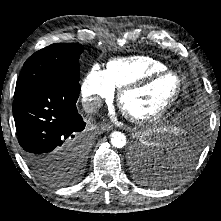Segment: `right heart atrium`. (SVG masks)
I'll list each match as a JSON object with an SVG mask.
<instances>
[{
  "label": "right heart atrium",
  "mask_w": 221,
  "mask_h": 221,
  "mask_svg": "<svg viewBox=\"0 0 221 221\" xmlns=\"http://www.w3.org/2000/svg\"><path fill=\"white\" fill-rule=\"evenodd\" d=\"M81 93L87 107L96 109L103 99L113 96L114 86L108 80L105 71L95 65L85 77Z\"/></svg>",
  "instance_id": "1"
}]
</instances>
